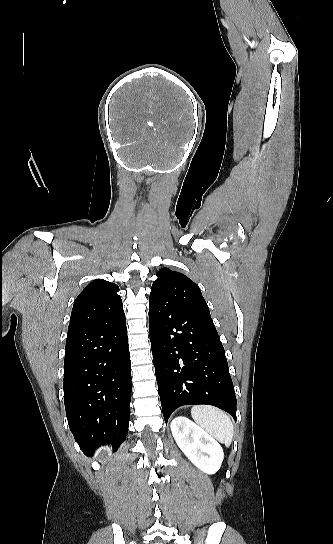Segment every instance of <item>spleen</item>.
<instances>
[{
    "label": "spleen",
    "mask_w": 333,
    "mask_h": 544,
    "mask_svg": "<svg viewBox=\"0 0 333 544\" xmlns=\"http://www.w3.org/2000/svg\"><path fill=\"white\" fill-rule=\"evenodd\" d=\"M193 420L213 435L220 443L230 446L234 427L230 417L222 410L209 405H197L191 408Z\"/></svg>",
    "instance_id": "spleen-1"
}]
</instances>
